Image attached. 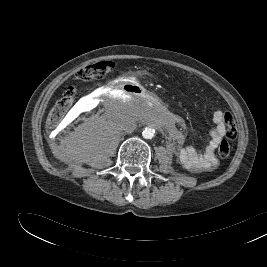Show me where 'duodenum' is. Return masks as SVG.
<instances>
[{
  "mask_svg": "<svg viewBox=\"0 0 267 267\" xmlns=\"http://www.w3.org/2000/svg\"><path fill=\"white\" fill-rule=\"evenodd\" d=\"M112 91L114 93L128 92L129 94L140 95L149 99L152 103H155L159 108H164L166 106V101L162 96H159L154 90L136 83H115L112 86Z\"/></svg>",
  "mask_w": 267,
  "mask_h": 267,
  "instance_id": "duodenum-1",
  "label": "duodenum"
}]
</instances>
